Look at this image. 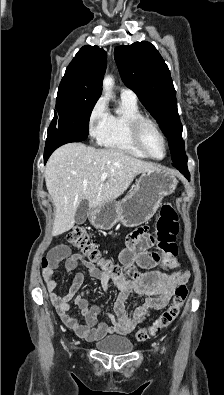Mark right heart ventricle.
<instances>
[{
  "label": "right heart ventricle",
  "instance_id": "1",
  "mask_svg": "<svg viewBox=\"0 0 224 395\" xmlns=\"http://www.w3.org/2000/svg\"><path fill=\"white\" fill-rule=\"evenodd\" d=\"M142 116L137 102L121 98L120 111L109 114L105 129L98 138L99 143L136 158H147L134 144L130 134L132 120Z\"/></svg>",
  "mask_w": 224,
  "mask_h": 395
}]
</instances>
